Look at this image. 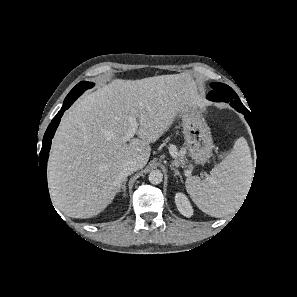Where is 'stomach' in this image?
<instances>
[{
    "instance_id": "1",
    "label": "stomach",
    "mask_w": 297,
    "mask_h": 297,
    "mask_svg": "<svg viewBox=\"0 0 297 297\" xmlns=\"http://www.w3.org/2000/svg\"><path fill=\"white\" fill-rule=\"evenodd\" d=\"M188 155L196 164L205 163L212 156L213 140L202 113L195 105L180 112Z\"/></svg>"
}]
</instances>
